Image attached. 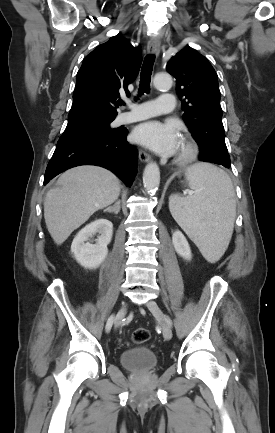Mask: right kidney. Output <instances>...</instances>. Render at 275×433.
Returning a JSON list of instances; mask_svg holds the SVG:
<instances>
[{
	"label": "right kidney",
	"mask_w": 275,
	"mask_h": 433,
	"mask_svg": "<svg viewBox=\"0 0 275 433\" xmlns=\"http://www.w3.org/2000/svg\"><path fill=\"white\" fill-rule=\"evenodd\" d=\"M96 234V243L92 244V238ZM112 235L113 224L107 219H97L77 233L71 245V252L84 268H98L108 254L107 245L111 242Z\"/></svg>",
	"instance_id": "obj_1"
}]
</instances>
